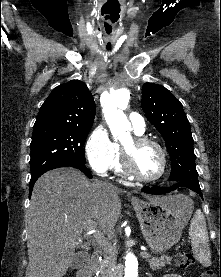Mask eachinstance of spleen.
Wrapping results in <instances>:
<instances>
[{
	"label": "spleen",
	"instance_id": "obj_1",
	"mask_svg": "<svg viewBox=\"0 0 221 277\" xmlns=\"http://www.w3.org/2000/svg\"><path fill=\"white\" fill-rule=\"evenodd\" d=\"M189 236L195 258L201 264L209 266L211 263L209 238L205 218L201 210H197L191 220Z\"/></svg>",
	"mask_w": 221,
	"mask_h": 277
}]
</instances>
